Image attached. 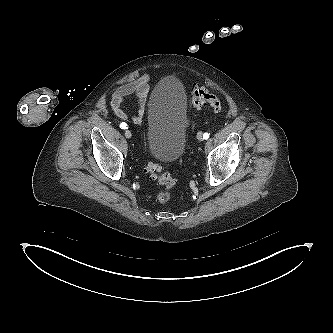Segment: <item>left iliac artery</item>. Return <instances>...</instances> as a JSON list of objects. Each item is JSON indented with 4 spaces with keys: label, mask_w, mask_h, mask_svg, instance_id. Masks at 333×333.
<instances>
[{
    "label": "left iliac artery",
    "mask_w": 333,
    "mask_h": 333,
    "mask_svg": "<svg viewBox=\"0 0 333 333\" xmlns=\"http://www.w3.org/2000/svg\"><path fill=\"white\" fill-rule=\"evenodd\" d=\"M203 138L206 140V139H208L209 138V133H204L203 134Z\"/></svg>",
    "instance_id": "1"
}]
</instances>
